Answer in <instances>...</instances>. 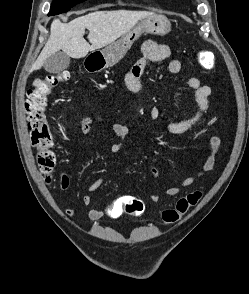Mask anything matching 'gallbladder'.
<instances>
[{"label":"gallbladder","mask_w":249,"mask_h":294,"mask_svg":"<svg viewBox=\"0 0 249 294\" xmlns=\"http://www.w3.org/2000/svg\"><path fill=\"white\" fill-rule=\"evenodd\" d=\"M70 57L63 51H58L44 62V69L49 73H61L69 67Z\"/></svg>","instance_id":"gallbladder-1"}]
</instances>
